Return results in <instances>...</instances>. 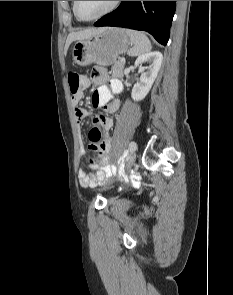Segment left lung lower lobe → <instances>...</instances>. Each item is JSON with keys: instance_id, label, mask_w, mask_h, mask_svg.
<instances>
[{"instance_id": "1", "label": "left lung lower lobe", "mask_w": 233, "mask_h": 295, "mask_svg": "<svg viewBox=\"0 0 233 295\" xmlns=\"http://www.w3.org/2000/svg\"><path fill=\"white\" fill-rule=\"evenodd\" d=\"M176 1H122L94 26H116L149 32L160 44L169 40Z\"/></svg>"}]
</instances>
